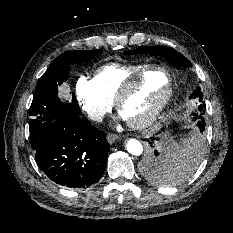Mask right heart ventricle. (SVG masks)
Here are the masks:
<instances>
[{"label":"right heart ventricle","instance_id":"obj_1","mask_svg":"<svg viewBox=\"0 0 233 233\" xmlns=\"http://www.w3.org/2000/svg\"><path fill=\"white\" fill-rule=\"evenodd\" d=\"M147 67V64H107L96 70L94 80L102 95L111 102L125 81Z\"/></svg>","mask_w":233,"mask_h":233}]
</instances>
